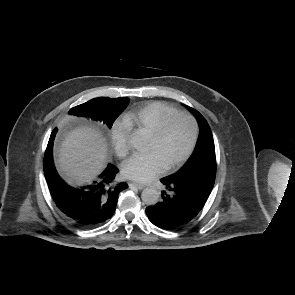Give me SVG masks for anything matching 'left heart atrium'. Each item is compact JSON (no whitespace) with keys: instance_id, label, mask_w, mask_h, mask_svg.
Wrapping results in <instances>:
<instances>
[{"instance_id":"left-heart-atrium-1","label":"left heart atrium","mask_w":295,"mask_h":295,"mask_svg":"<svg viewBox=\"0 0 295 295\" xmlns=\"http://www.w3.org/2000/svg\"><path fill=\"white\" fill-rule=\"evenodd\" d=\"M165 166L155 152L132 156L123 166L124 175L137 182H147L164 171Z\"/></svg>"}]
</instances>
